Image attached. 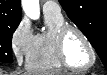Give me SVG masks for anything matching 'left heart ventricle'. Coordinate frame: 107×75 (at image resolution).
Instances as JSON below:
<instances>
[{
    "label": "left heart ventricle",
    "instance_id": "left-heart-ventricle-1",
    "mask_svg": "<svg viewBox=\"0 0 107 75\" xmlns=\"http://www.w3.org/2000/svg\"><path fill=\"white\" fill-rule=\"evenodd\" d=\"M65 54L74 66H85L91 61V54L84 40L75 32H70L65 39Z\"/></svg>",
    "mask_w": 107,
    "mask_h": 75
}]
</instances>
